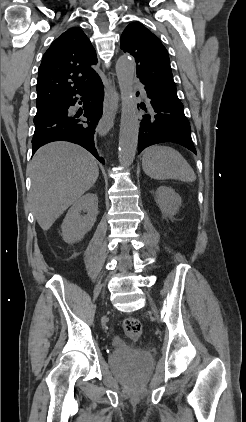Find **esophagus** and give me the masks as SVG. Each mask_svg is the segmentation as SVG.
I'll return each instance as SVG.
<instances>
[{
  "label": "esophagus",
  "instance_id": "1",
  "mask_svg": "<svg viewBox=\"0 0 246 422\" xmlns=\"http://www.w3.org/2000/svg\"><path fill=\"white\" fill-rule=\"evenodd\" d=\"M108 84L109 88L105 90L103 102V115L98 126L101 135L107 134L113 127L119 106V94L110 76L108 77Z\"/></svg>",
  "mask_w": 246,
  "mask_h": 422
}]
</instances>
